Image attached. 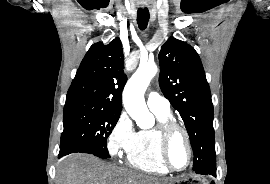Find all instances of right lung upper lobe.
Instances as JSON below:
<instances>
[{"instance_id": "cb5924a9", "label": "right lung upper lobe", "mask_w": 270, "mask_h": 184, "mask_svg": "<svg viewBox=\"0 0 270 184\" xmlns=\"http://www.w3.org/2000/svg\"><path fill=\"white\" fill-rule=\"evenodd\" d=\"M123 63V50L119 38H115L109 44H93L77 70L66 101H86L121 113L122 91L127 81Z\"/></svg>"}]
</instances>
